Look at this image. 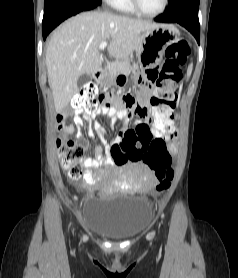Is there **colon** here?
<instances>
[{
	"label": "colon",
	"instance_id": "colon-1",
	"mask_svg": "<svg viewBox=\"0 0 238 278\" xmlns=\"http://www.w3.org/2000/svg\"><path fill=\"white\" fill-rule=\"evenodd\" d=\"M189 52L190 48L185 40L170 45L165 51L161 75L157 76L158 85H153V97L149 100L152 113H150L147 127L152 128V136L154 134L171 135L175 132L174 112L183 79V68ZM123 100L135 99L131 95H125ZM100 102V98H97L96 86L88 84L73 97L71 104L75 110L94 113ZM152 136L141 137V144L131 142L114 144L110 149V154L116 165H122L127 161L142 160L157 179L156 189L163 191L170 186L174 175L172 156L169 155L173 154V149H168L166 144H150ZM57 146L62 168L70 177H80L81 159L85 147L69 137L60 138Z\"/></svg>",
	"mask_w": 238,
	"mask_h": 278
}]
</instances>
